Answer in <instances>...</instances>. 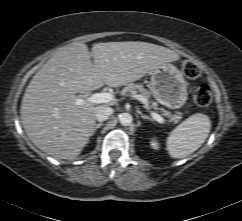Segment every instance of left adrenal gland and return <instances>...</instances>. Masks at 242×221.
I'll list each match as a JSON object with an SVG mask.
<instances>
[{"label":"left adrenal gland","mask_w":242,"mask_h":221,"mask_svg":"<svg viewBox=\"0 0 242 221\" xmlns=\"http://www.w3.org/2000/svg\"><path fill=\"white\" fill-rule=\"evenodd\" d=\"M141 118H143V119H148V120H150V121H153V119H152L151 117L146 116V115H144V114H142V113H141Z\"/></svg>","instance_id":"a2214340"}]
</instances>
